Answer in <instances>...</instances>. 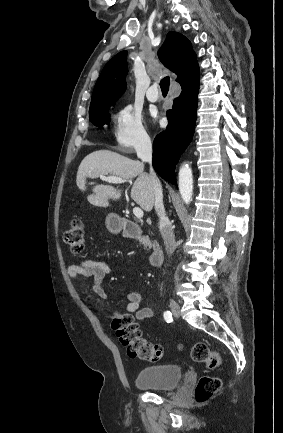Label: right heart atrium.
<instances>
[{"label":"right heart atrium","instance_id":"1","mask_svg":"<svg viewBox=\"0 0 283 433\" xmlns=\"http://www.w3.org/2000/svg\"><path fill=\"white\" fill-rule=\"evenodd\" d=\"M112 148L121 154L131 155L151 146L152 140L140 109L122 105L112 117Z\"/></svg>","mask_w":283,"mask_h":433}]
</instances>
